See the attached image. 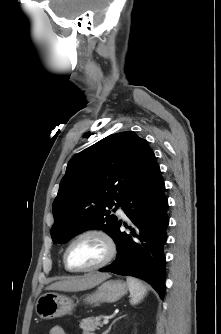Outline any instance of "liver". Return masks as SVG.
<instances>
[{
  "label": "liver",
  "mask_w": 221,
  "mask_h": 334,
  "mask_svg": "<svg viewBox=\"0 0 221 334\" xmlns=\"http://www.w3.org/2000/svg\"><path fill=\"white\" fill-rule=\"evenodd\" d=\"M109 277L110 275L108 273H89L82 277L55 282L47 286L46 289L58 291H82L97 286Z\"/></svg>",
  "instance_id": "obj_1"
}]
</instances>
